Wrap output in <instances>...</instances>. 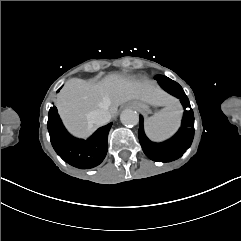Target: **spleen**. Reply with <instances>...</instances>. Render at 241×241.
I'll use <instances>...</instances> for the list:
<instances>
[{"instance_id":"3e777b00","label":"spleen","mask_w":241,"mask_h":241,"mask_svg":"<svg viewBox=\"0 0 241 241\" xmlns=\"http://www.w3.org/2000/svg\"><path fill=\"white\" fill-rule=\"evenodd\" d=\"M181 113L166 107L145 121L146 135L155 142L170 138L180 127Z\"/></svg>"}]
</instances>
